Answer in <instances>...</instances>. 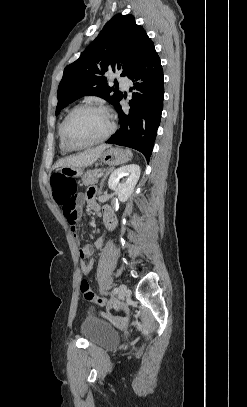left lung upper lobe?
I'll return each instance as SVG.
<instances>
[{
  "mask_svg": "<svg viewBox=\"0 0 247 407\" xmlns=\"http://www.w3.org/2000/svg\"><path fill=\"white\" fill-rule=\"evenodd\" d=\"M154 43L131 14H116L98 37L68 65L59 84L56 115L76 99L94 95L116 106L122 93L109 87L103 74L120 71L128 78L153 51Z\"/></svg>",
  "mask_w": 247,
  "mask_h": 407,
  "instance_id": "obj_1",
  "label": "left lung upper lobe"
}]
</instances>
